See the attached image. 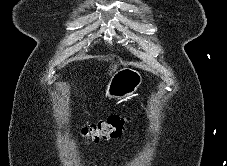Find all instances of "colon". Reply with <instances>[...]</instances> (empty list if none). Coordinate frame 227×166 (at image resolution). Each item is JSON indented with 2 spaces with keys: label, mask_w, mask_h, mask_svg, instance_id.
Segmentation results:
<instances>
[{
  "label": "colon",
  "mask_w": 227,
  "mask_h": 166,
  "mask_svg": "<svg viewBox=\"0 0 227 166\" xmlns=\"http://www.w3.org/2000/svg\"><path fill=\"white\" fill-rule=\"evenodd\" d=\"M126 121L122 115H111L105 120L84 126L80 134L86 142L117 138L125 131Z\"/></svg>",
  "instance_id": "1"
}]
</instances>
